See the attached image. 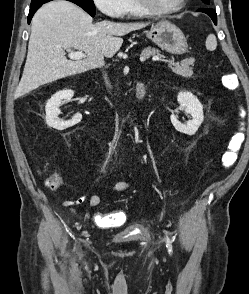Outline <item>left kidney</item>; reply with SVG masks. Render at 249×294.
Wrapping results in <instances>:
<instances>
[{"label": "left kidney", "mask_w": 249, "mask_h": 294, "mask_svg": "<svg viewBox=\"0 0 249 294\" xmlns=\"http://www.w3.org/2000/svg\"><path fill=\"white\" fill-rule=\"evenodd\" d=\"M177 100L179 108L176 109L175 112H178V110H184L191 116V119L186 124H183L178 120L177 115L172 114L170 117L171 122L177 131L187 135H193L203 122V106L199 99L188 91L179 92Z\"/></svg>", "instance_id": "5707ae66"}]
</instances>
